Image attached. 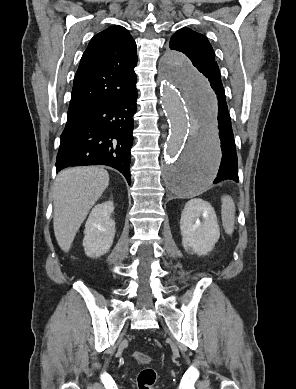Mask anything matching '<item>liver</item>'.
I'll list each match as a JSON object with an SVG mask.
<instances>
[{
  "label": "liver",
  "instance_id": "liver-1",
  "mask_svg": "<svg viewBox=\"0 0 296 389\" xmlns=\"http://www.w3.org/2000/svg\"><path fill=\"white\" fill-rule=\"evenodd\" d=\"M108 184L109 174L101 167H75L58 174L53 187V226L63 251H69L81 224Z\"/></svg>",
  "mask_w": 296,
  "mask_h": 389
}]
</instances>
